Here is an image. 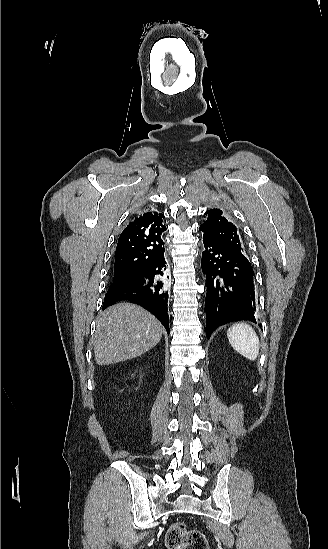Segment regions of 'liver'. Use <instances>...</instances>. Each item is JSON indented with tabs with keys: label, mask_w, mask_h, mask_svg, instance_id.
I'll return each instance as SVG.
<instances>
[{
	"label": "liver",
	"mask_w": 328,
	"mask_h": 549,
	"mask_svg": "<svg viewBox=\"0 0 328 549\" xmlns=\"http://www.w3.org/2000/svg\"><path fill=\"white\" fill-rule=\"evenodd\" d=\"M163 327L151 313L133 303H117L97 317L93 337L97 365L135 359L161 341Z\"/></svg>",
	"instance_id": "obj_1"
}]
</instances>
